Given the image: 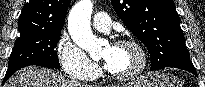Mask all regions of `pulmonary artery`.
Masks as SVG:
<instances>
[{"instance_id": "pulmonary-artery-1", "label": "pulmonary artery", "mask_w": 205, "mask_h": 87, "mask_svg": "<svg viewBox=\"0 0 205 87\" xmlns=\"http://www.w3.org/2000/svg\"><path fill=\"white\" fill-rule=\"evenodd\" d=\"M93 26L99 31H109L111 28V18L106 12H98L93 17Z\"/></svg>"}]
</instances>
